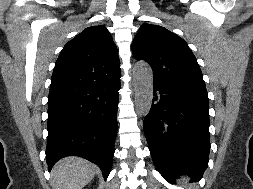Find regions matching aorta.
<instances>
[{"label":"aorta","mask_w":253,"mask_h":189,"mask_svg":"<svg viewBox=\"0 0 253 189\" xmlns=\"http://www.w3.org/2000/svg\"><path fill=\"white\" fill-rule=\"evenodd\" d=\"M135 83L136 111L141 116L148 115L153 99V72L143 61L137 62L133 69Z\"/></svg>","instance_id":"aorta-1"}]
</instances>
